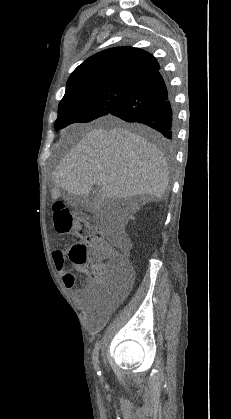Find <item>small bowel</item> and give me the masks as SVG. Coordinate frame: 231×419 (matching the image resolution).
Masks as SVG:
<instances>
[{"label":"small bowel","mask_w":231,"mask_h":419,"mask_svg":"<svg viewBox=\"0 0 231 419\" xmlns=\"http://www.w3.org/2000/svg\"><path fill=\"white\" fill-rule=\"evenodd\" d=\"M54 261H55V265H56L57 269L60 271V273L62 275L63 285L67 289H72L75 286V284H76V277H75V275L65 269L64 262L63 263H59L58 261H56V258L55 257H54ZM81 270L82 271H86L85 268H81ZM92 282H94L93 279H92ZM126 293H127V291H124L122 297ZM89 295H90V288L89 287H86V288H84V289H82L80 291L81 298H76V302L78 303V305L80 307H84L86 305V302H87V299H88ZM89 325H90L91 328H94L95 327V324L94 323H89Z\"/></svg>","instance_id":"small-bowel-1"}]
</instances>
